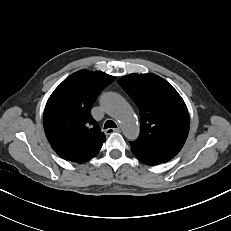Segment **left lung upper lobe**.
<instances>
[{"instance_id":"5c2ea615","label":"left lung upper lobe","mask_w":231,"mask_h":231,"mask_svg":"<svg viewBox=\"0 0 231 231\" xmlns=\"http://www.w3.org/2000/svg\"><path fill=\"white\" fill-rule=\"evenodd\" d=\"M118 83L140 111V136L130 142L136 150L176 156L189 133V115L178 92L155 74H131Z\"/></svg>"}]
</instances>
